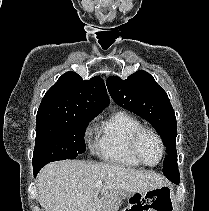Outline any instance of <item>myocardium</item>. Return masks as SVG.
<instances>
[{"label":"myocardium","mask_w":209,"mask_h":211,"mask_svg":"<svg viewBox=\"0 0 209 211\" xmlns=\"http://www.w3.org/2000/svg\"><path fill=\"white\" fill-rule=\"evenodd\" d=\"M145 133H149L151 135H153L159 145H160V149H161V156L158 160L157 163L155 164H149L147 163L141 156L140 154V151H139V142L142 138V136L145 134ZM130 149H131V152L132 154L134 155V157L139 161L140 164L144 165V166H147V167H155L157 166L158 164H160L165 156V144L163 142V139L162 137L160 136V134L153 128L151 127H148V126H143L141 125L139 128H137L134 133L132 134V137H131V140H130Z\"/></svg>","instance_id":"1"}]
</instances>
